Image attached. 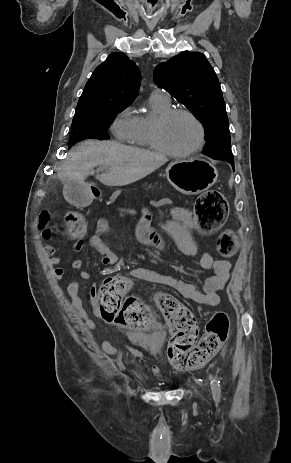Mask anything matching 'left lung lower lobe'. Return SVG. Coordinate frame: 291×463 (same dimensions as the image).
<instances>
[{
	"mask_svg": "<svg viewBox=\"0 0 291 463\" xmlns=\"http://www.w3.org/2000/svg\"><path fill=\"white\" fill-rule=\"evenodd\" d=\"M215 160H224V161H227V162H229V163L232 165V167H233V169H234V159H232V158L221 157V158H218V159H215Z\"/></svg>",
	"mask_w": 291,
	"mask_h": 463,
	"instance_id": "obj_1",
	"label": "left lung lower lobe"
}]
</instances>
